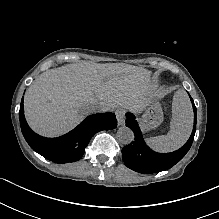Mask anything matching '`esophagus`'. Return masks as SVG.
I'll return each instance as SVG.
<instances>
[{"label":"esophagus","mask_w":219,"mask_h":219,"mask_svg":"<svg viewBox=\"0 0 219 219\" xmlns=\"http://www.w3.org/2000/svg\"><path fill=\"white\" fill-rule=\"evenodd\" d=\"M116 117L119 126L125 124V110L123 108H118L116 110Z\"/></svg>","instance_id":"obj_1"}]
</instances>
